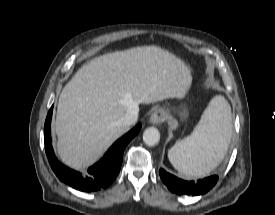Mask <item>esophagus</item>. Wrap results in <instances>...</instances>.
I'll use <instances>...</instances> for the list:
<instances>
[{
	"label": "esophagus",
	"mask_w": 275,
	"mask_h": 215,
	"mask_svg": "<svg viewBox=\"0 0 275 215\" xmlns=\"http://www.w3.org/2000/svg\"><path fill=\"white\" fill-rule=\"evenodd\" d=\"M167 116V111L162 107H158L152 113L150 117V123L153 125H159L167 119Z\"/></svg>",
	"instance_id": "1"
}]
</instances>
